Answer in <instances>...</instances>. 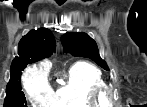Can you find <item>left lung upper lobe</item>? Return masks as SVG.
I'll return each instance as SVG.
<instances>
[{"instance_id":"left-lung-upper-lobe-1","label":"left lung upper lobe","mask_w":147,"mask_h":107,"mask_svg":"<svg viewBox=\"0 0 147 107\" xmlns=\"http://www.w3.org/2000/svg\"><path fill=\"white\" fill-rule=\"evenodd\" d=\"M64 50L73 56L87 57L100 67L109 70L106 62L101 59L96 42L83 32H67L61 37Z\"/></svg>"}]
</instances>
